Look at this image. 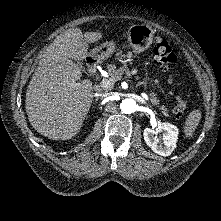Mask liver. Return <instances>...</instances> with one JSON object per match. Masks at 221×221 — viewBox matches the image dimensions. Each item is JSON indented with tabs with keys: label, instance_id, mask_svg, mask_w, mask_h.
<instances>
[{
	"label": "liver",
	"instance_id": "obj_1",
	"mask_svg": "<svg viewBox=\"0 0 221 221\" xmlns=\"http://www.w3.org/2000/svg\"><path fill=\"white\" fill-rule=\"evenodd\" d=\"M102 36L71 28L58 35L43 54L25 99L29 122L40 134L68 140L80 131L92 104L93 88L89 80H80L81 70L72 60H84L89 43Z\"/></svg>",
	"mask_w": 221,
	"mask_h": 221
}]
</instances>
